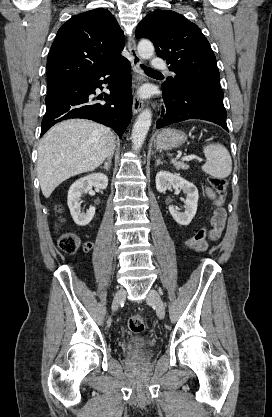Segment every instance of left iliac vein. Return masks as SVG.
Instances as JSON below:
<instances>
[{"label":"left iliac vein","instance_id":"obj_1","mask_svg":"<svg viewBox=\"0 0 272 417\" xmlns=\"http://www.w3.org/2000/svg\"><path fill=\"white\" fill-rule=\"evenodd\" d=\"M147 303L153 305L156 309L157 316L160 319L165 317V305L164 302L159 295V293L155 289H151L148 293L146 298Z\"/></svg>","mask_w":272,"mask_h":417}]
</instances>
